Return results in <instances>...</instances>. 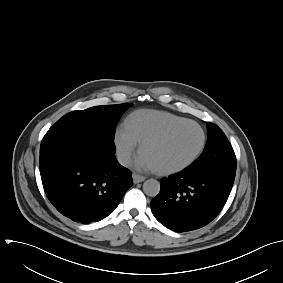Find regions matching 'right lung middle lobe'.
<instances>
[{"label": "right lung middle lobe", "instance_id": "dd1d6c3e", "mask_svg": "<svg viewBox=\"0 0 283 283\" xmlns=\"http://www.w3.org/2000/svg\"><path fill=\"white\" fill-rule=\"evenodd\" d=\"M131 106V103L95 106L68 113L45 134L41 142L40 154L79 139L95 138L113 141L118 119Z\"/></svg>", "mask_w": 283, "mask_h": 283}]
</instances>
